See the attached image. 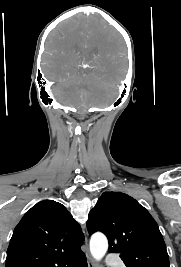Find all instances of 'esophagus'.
I'll return each mask as SVG.
<instances>
[{
  "label": "esophagus",
  "instance_id": "obj_1",
  "mask_svg": "<svg viewBox=\"0 0 181 267\" xmlns=\"http://www.w3.org/2000/svg\"><path fill=\"white\" fill-rule=\"evenodd\" d=\"M85 245L87 247V238H85ZM86 258H87L88 267H95V263H94L91 255H90L88 249L86 251Z\"/></svg>",
  "mask_w": 181,
  "mask_h": 267
}]
</instances>
